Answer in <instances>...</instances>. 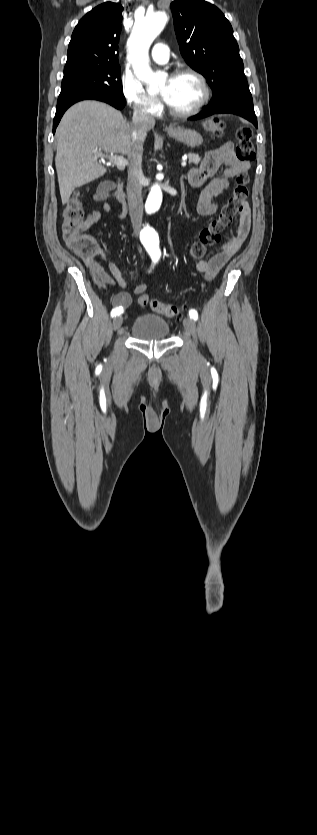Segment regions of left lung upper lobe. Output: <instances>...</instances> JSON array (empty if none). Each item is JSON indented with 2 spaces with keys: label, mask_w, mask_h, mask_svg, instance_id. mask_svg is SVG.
Returning <instances> with one entry per match:
<instances>
[{
  "label": "left lung upper lobe",
  "mask_w": 317,
  "mask_h": 835,
  "mask_svg": "<svg viewBox=\"0 0 317 835\" xmlns=\"http://www.w3.org/2000/svg\"><path fill=\"white\" fill-rule=\"evenodd\" d=\"M171 9L182 56L213 90L209 105L231 99L253 101L239 47L224 14L203 0H175Z\"/></svg>",
  "instance_id": "left-lung-upper-lobe-1"
}]
</instances>
